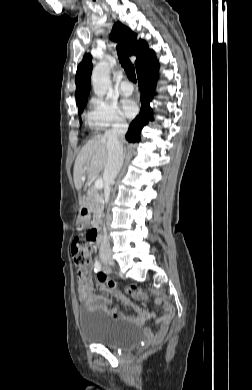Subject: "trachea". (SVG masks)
<instances>
[{
	"label": "trachea",
	"instance_id": "3493384b",
	"mask_svg": "<svg viewBox=\"0 0 252 390\" xmlns=\"http://www.w3.org/2000/svg\"><path fill=\"white\" fill-rule=\"evenodd\" d=\"M116 49H117V54L121 66L124 68L128 78L132 82L136 83L137 80H136L135 68L134 65L130 62L125 49L121 45H118Z\"/></svg>",
	"mask_w": 252,
	"mask_h": 390
}]
</instances>
